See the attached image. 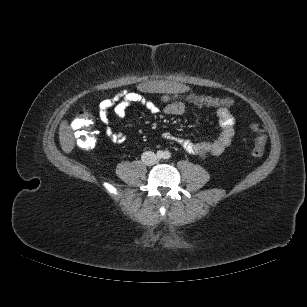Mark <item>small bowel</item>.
Here are the masks:
<instances>
[{
  "label": "small bowel",
  "instance_id": "obj_1",
  "mask_svg": "<svg viewBox=\"0 0 307 307\" xmlns=\"http://www.w3.org/2000/svg\"><path fill=\"white\" fill-rule=\"evenodd\" d=\"M194 94V93H190ZM168 95L161 96L164 103L163 109H160L153 101L147 99L140 92H128L106 97L99 104L98 117L104 125L105 134L115 143H123L126 139L121 132L113 130L110 125V112H113L117 118H124L127 110L133 104L144 106L151 114L164 113L165 115L175 116L183 115L186 112V105L183 102H168ZM216 116L220 127L219 134L212 140L194 143L189 139L179 138L169 132L163 134L164 139L174 141L180 144L187 152L191 154L208 153L213 156H219L230 145L235 134V118L227 107L216 109Z\"/></svg>",
  "mask_w": 307,
  "mask_h": 307
}]
</instances>
